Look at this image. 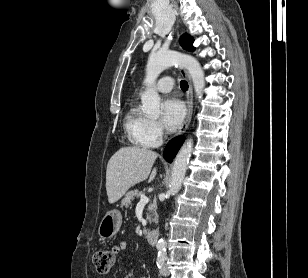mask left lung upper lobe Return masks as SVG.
I'll return each mask as SVG.
<instances>
[{
	"mask_svg": "<svg viewBox=\"0 0 308 278\" xmlns=\"http://www.w3.org/2000/svg\"><path fill=\"white\" fill-rule=\"evenodd\" d=\"M193 41H194L193 38L191 36L187 35V34H184L180 38L181 46L188 51H194L195 50V48L192 46Z\"/></svg>",
	"mask_w": 308,
	"mask_h": 278,
	"instance_id": "obj_1",
	"label": "left lung upper lobe"
}]
</instances>
